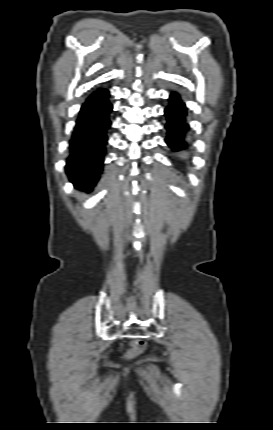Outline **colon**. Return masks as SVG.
Returning a JSON list of instances; mask_svg holds the SVG:
<instances>
[{"label":"colon","mask_w":273,"mask_h":430,"mask_svg":"<svg viewBox=\"0 0 273 430\" xmlns=\"http://www.w3.org/2000/svg\"><path fill=\"white\" fill-rule=\"evenodd\" d=\"M145 344L142 340H134L130 344V349L127 353L129 358H133L143 352Z\"/></svg>","instance_id":"obj_1"}]
</instances>
